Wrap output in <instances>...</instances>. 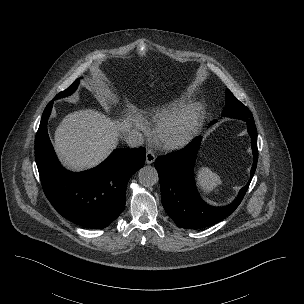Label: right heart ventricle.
I'll return each mask as SVG.
<instances>
[{"mask_svg":"<svg viewBox=\"0 0 304 304\" xmlns=\"http://www.w3.org/2000/svg\"><path fill=\"white\" fill-rule=\"evenodd\" d=\"M183 106L184 100L174 101L166 105L152 108L149 115L154 122L158 123L166 116L179 111Z\"/></svg>","mask_w":304,"mask_h":304,"instance_id":"right-heart-ventricle-1","label":"right heart ventricle"}]
</instances>
